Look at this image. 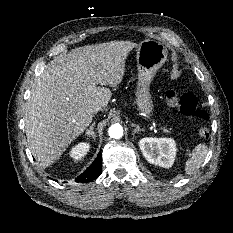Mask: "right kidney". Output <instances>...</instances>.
<instances>
[{
  "mask_svg": "<svg viewBox=\"0 0 233 233\" xmlns=\"http://www.w3.org/2000/svg\"><path fill=\"white\" fill-rule=\"evenodd\" d=\"M89 149V143L80 142L70 149L69 155L71 158H73V160L78 161L81 160L89 152Z\"/></svg>",
  "mask_w": 233,
  "mask_h": 233,
  "instance_id": "ca27d5eb",
  "label": "right kidney"
}]
</instances>
